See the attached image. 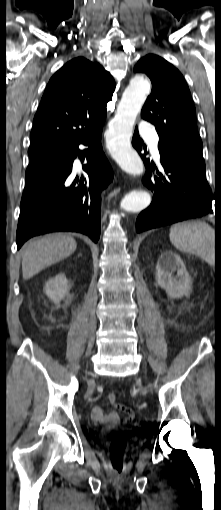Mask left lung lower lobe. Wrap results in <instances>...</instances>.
I'll return each instance as SVG.
<instances>
[{"instance_id": "0a47b994", "label": "left lung lower lobe", "mask_w": 221, "mask_h": 510, "mask_svg": "<svg viewBox=\"0 0 221 510\" xmlns=\"http://www.w3.org/2000/svg\"><path fill=\"white\" fill-rule=\"evenodd\" d=\"M147 168L143 180L154 192L151 205L143 210L136 220L138 233L172 224L182 220L201 217L209 213L212 205V191L206 181L205 167H200L184 158L159 150L164 174L160 178L151 176L154 166L150 165L142 149H146L137 128L132 139Z\"/></svg>"}]
</instances>
